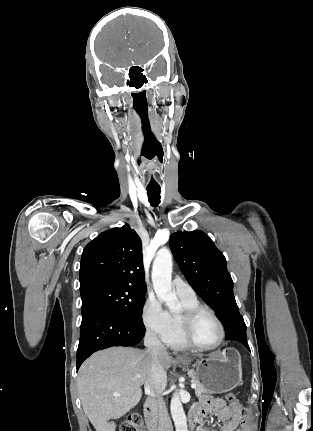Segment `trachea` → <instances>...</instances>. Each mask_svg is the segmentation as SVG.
I'll return each instance as SVG.
<instances>
[{"instance_id":"1","label":"trachea","mask_w":313,"mask_h":431,"mask_svg":"<svg viewBox=\"0 0 313 431\" xmlns=\"http://www.w3.org/2000/svg\"><path fill=\"white\" fill-rule=\"evenodd\" d=\"M149 203L152 207H157L160 204V187H147Z\"/></svg>"}]
</instances>
